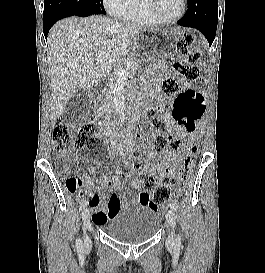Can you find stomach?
<instances>
[{
	"instance_id": "obj_1",
	"label": "stomach",
	"mask_w": 265,
	"mask_h": 273,
	"mask_svg": "<svg viewBox=\"0 0 265 273\" xmlns=\"http://www.w3.org/2000/svg\"><path fill=\"white\" fill-rule=\"evenodd\" d=\"M184 30H154L144 29L134 39L133 44H128V49H141L136 64L134 78H153V73H160L161 69H167V64L172 60L168 56H175V51H163L172 49L174 40H180Z\"/></svg>"
}]
</instances>
